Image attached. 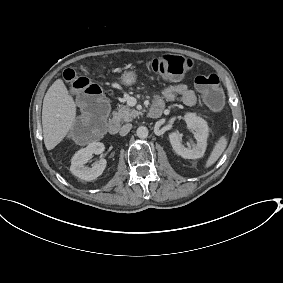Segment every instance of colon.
<instances>
[{"mask_svg": "<svg viewBox=\"0 0 283 283\" xmlns=\"http://www.w3.org/2000/svg\"><path fill=\"white\" fill-rule=\"evenodd\" d=\"M191 65L188 58L170 54L157 56L147 62L149 70L171 78L181 77L190 70ZM63 76L71 84L82 112L71 129L72 138L79 142H88L104 125L109 111L107 100L97 84L80 76L74 69L65 70ZM194 82L204 103L214 111L220 110L224 104V93L218 76L200 75Z\"/></svg>", "mask_w": 283, "mask_h": 283, "instance_id": "colon-1", "label": "colon"}]
</instances>
